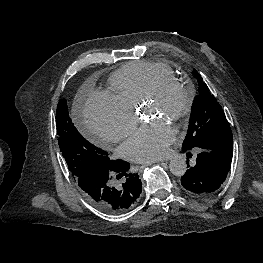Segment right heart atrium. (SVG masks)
<instances>
[{"label": "right heart atrium", "mask_w": 263, "mask_h": 263, "mask_svg": "<svg viewBox=\"0 0 263 263\" xmlns=\"http://www.w3.org/2000/svg\"><path fill=\"white\" fill-rule=\"evenodd\" d=\"M84 121L102 146L124 138L135 124L133 110L107 92L89 96L84 108Z\"/></svg>", "instance_id": "right-heart-atrium-1"}]
</instances>
